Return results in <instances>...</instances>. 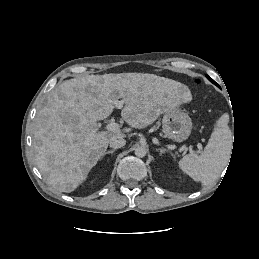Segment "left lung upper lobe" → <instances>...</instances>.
Returning a JSON list of instances; mask_svg holds the SVG:
<instances>
[{"mask_svg":"<svg viewBox=\"0 0 259 259\" xmlns=\"http://www.w3.org/2000/svg\"><path fill=\"white\" fill-rule=\"evenodd\" d=\"M206 77H207L212 83L216 84V83L214 82V80H212L208 75H206Z\"/></svg>","mask_w":259,"mask_h":259,"instance_id":"obj_1","label":"left lung upper lobe"}]
</instances>
